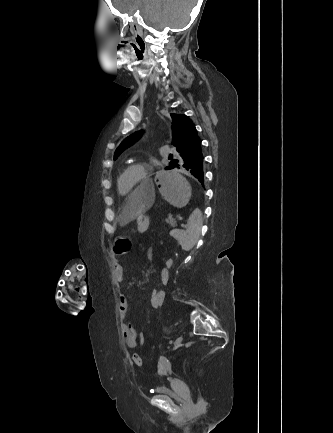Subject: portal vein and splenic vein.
<instances>
[{
	"label": "portal vein and splenic vein",
	"instance_id": "1",
	"mask_svg": "<svg viewBox=\"0 0 333 433\" xmlns=\"http://www.w3.org/2000/svg\"><path fill=\"white\" fill-rule=\"evenodd\" d=\"M170 225H173V222H170Z\"/></svg>",
	"mask_w": 333,
	"mask_h": 433
}]
</instances>
